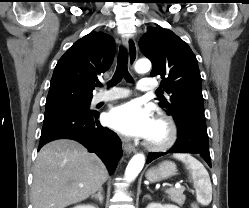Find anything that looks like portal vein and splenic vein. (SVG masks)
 <instances>
[{
	"label": "portal vein and splenic vein",
	"instance_id": "18ae733b",
	"mask_svg": "<svg viewBox=\"0 0 249 208\" xmlns=\"http://www.w3.org/2000/svg\"><path fill=\"white\" fill-rule=\"evenodd\" d=\"M80 187H83V185H80ZM180 187H181L180 183L175 184V188H180Z\"/></svg>",
	"mask_w": 249,
	"mask_h": 208
}]
</instances>
